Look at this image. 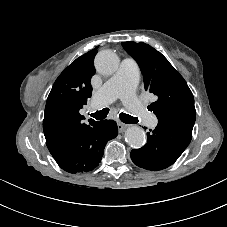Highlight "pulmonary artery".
<instances>
[{"label":"pulmonary artery","instance_id":"1","mask_svg":"<svg viewBox=\"0 0 227 227\" xmlns=\"http://www.w3.org/2000/svg\"><path fill=\"white\" fill-rule=\"evenodd\" d=\"M139 77L140 71L137 63L131 58H124L116 73L94 94L90 109L92 111L100 109L115 99L121 98L125 106L142 123L155 127L157 118L141 104L134 94Z\"/></svg>","mask_w":227,"mask_h":227}]
</instances>
